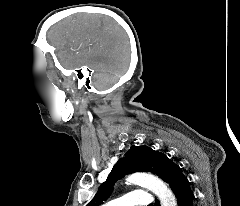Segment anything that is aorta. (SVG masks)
I'll use <instances>...</instances> for the list:
<instances>
[{"label": "aorta", "instance_id": "aorta-1", "mask_svg": "<svg viewBox=\"0 0 240 206\" xmlns=\"http://www.w3.org/2000/svg\"><path fill=\"white\" fill-rule=\"evenodd\" d=\"M127 183L141 185L153 192L160 200L161 206H177L171 190L158 177L149 173H136L128 177Z\"/></svg>", "mask_w": 240, "mask_h": 206}]
</instances>
